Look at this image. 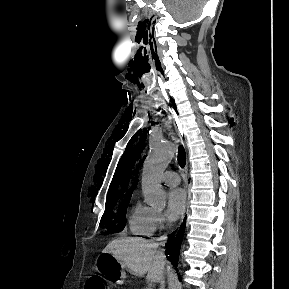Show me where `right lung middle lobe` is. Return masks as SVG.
<instances>
[{"mask_svg": "<svg viewBox=\"0 0 289 289\" xmlns=\"http://www.w3.org/2000/svg\"><path fill=\"white\" fill-rule=\"evenodd\" d=\"M129 204V200L124 201L120 204L118 212V219L113 215L114 205L107 204L105 212L101 218L100 226H106L109 231L119 232L122 231L126 224V208Z\"/></svg>", "mask_w": 289, "mask_h": 289, "instance_id": "right-lung-middle-lobe-1", "label": "right lung middle lobe"}]
</instances>
